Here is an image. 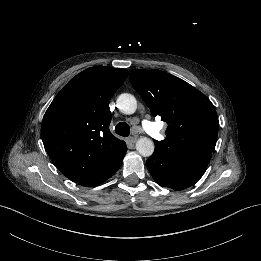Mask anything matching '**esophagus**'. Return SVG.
Here are the masks:
<instances>
[{"mask_svg": "<svg viewBox=\"0 0 261 261\" xmlns=\"http://www.w3.org/2000/svg\"><path fill=\"white\" fill-rule=\"evenodd\" d=\"M128 140L131 143H135L136 142V138L135 137H130Z\"/></svg>", "mask_w": 261, "mask_h": 261, "instance_id": "esophagus-1", "label": "esophagus"}]
</instances>
